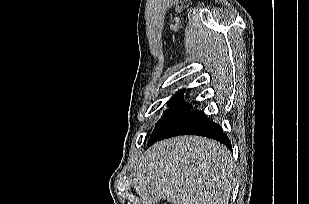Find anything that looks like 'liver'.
<instances>
[{
  "label": "liver",
  "instance_id": "1",
  "mask_svg": "<svg viewBox=\"0 0 309 204\" xmlns=\"http://www.w3.org/2000/svg\"><path fill=\"white\" fill-rule=\"evenodd\" d=\"M234 185L231 152L198 136L156 143L135 169L134 188L146 202L154 192L173 204H228Z\"/></svg>",
  "mask_w": 309,
  "mask_h": 204
}]
</instances>
